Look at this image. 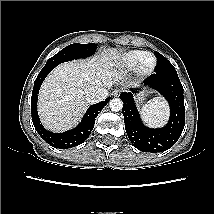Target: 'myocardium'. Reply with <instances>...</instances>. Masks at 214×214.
I'll use <instances>...</instances> for the list:
<instances>
[{"instance_id": "1", "label": "myocardium", "mask_w": 214, "mask_h": 214, "mask_svg": "<svg viewBox=\"0 0 214 214\" xmlns=\"http://www.w3.org/2000/svg\"><path fill=\"white\" fill-rule=\"evenodd\" d=\"M147 57L152 58V64L149 67L144 66V61ZM157 67V58L153 53L145 52L134 67L135 74L138 77L146 78L151 76Z\"/></svg>"}]
</instances>
